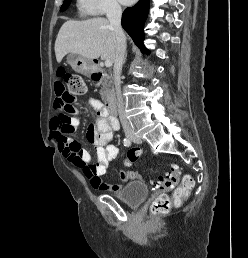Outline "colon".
<instances>
[{
  "label": "colon",
  "mask_w": 248,
  "mask_h": 258,
  "mask_svg": "<svg viewBox=\"0 0 248 258\" xmlns=\"http://www.w3.org/2000/svg\"><path fill=\"white\" fill-rule=\"evenodd\" d=\"M67 85V94L58 98L55 101L56 115L53 118V125L57 130L63 134L73 131L71 125L70 114L73 112L71 103L76 96L83 95L86 91V86L83 78L79 75H68L65 78ZM142 146H133L132 150L128 152L124 159L126 166L132 165L138 157L143 154ZM85 176L93 174L92 169L87 168L84 171ZM95 176V175H93ZM179 168L177 165H172L170 171L164 176L160 177L155 185L158 190H171L175 188L179 182ZM194 186L193 178L185 176L182 179L181 185L175 190L172 196L162 194L158 196L151 204V211L154 214H164L168 212L173 206L179 205L184 199H186Z\"/></svg>",
  "instance_id": "obj_1"
}]
</instances>
